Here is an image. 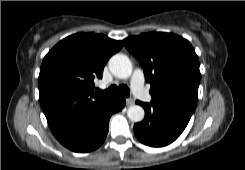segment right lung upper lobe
I'll return each instance as SVG.
<instances>
[{
	"instance_id": "right-lung-upper-lobe-1",
	"label": "right lung upper lobe",
	"mask_w": 245,
	"mask_h": 170,
	"mask_svg": "<svg viewBox=\"0 0 245 170\" xmlns=\"http://www.w3.org/2000/svg\"><path fill=\"white\" fill-rule=\"evenodd\" d=\"M122 42L95 33H77L55 45L44 57L40 74V103L48 125L59 140L69 134L110 96L94 90L109 58Z\"/></svg>"
}]
</instances>
